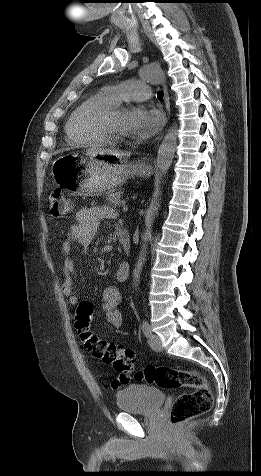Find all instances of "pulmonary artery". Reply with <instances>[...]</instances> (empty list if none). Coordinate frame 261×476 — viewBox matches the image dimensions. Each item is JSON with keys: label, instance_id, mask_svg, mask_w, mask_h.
Returning a JSON list of instances; mask_svg holds the SVG:
<instances>
[{"label": "pulmonary artery", "instance_id": "e3ab8cb5", "mask_svg": "<svg viewBox=\"0 0 261 476\" xmlns=\"http://www.w3.org/2000/svg\"><path fill=\"white\" fill-rule=\"evenodd\" d=\"M114 100L118 101H142L149 99L150 87L139 80H128L120 84L107 87L105 90Z\"/></svg>", "mask_w": 261, "mask_h": 476}]
</instances>
